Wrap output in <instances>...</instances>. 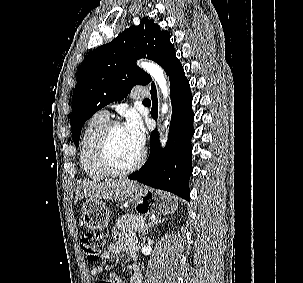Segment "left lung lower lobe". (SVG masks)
<instances>
[{
  "instance_id": "0a47b994",
  "label": "left lung lower lobe",
  "mask_w": 303,
  "mask_h": 283,
  "mask_svg": "<svg viewBox=\"0 0 303 283\" xmlns=\"http://www.w3.org/2000/svg\"><path fill=\"white\" fill-rule=\"evenodd\" d=\"M165 72L170 80L172 102V118L167 145L165 148H161L159 135L156 130L153 131L150 137V154L146 163L128 178L190 200L191 138L194 134L192 95L183 67L176 57ZM150 93L153 102L151 116L156 120L157 96L154 83H152Z\"/></svg>"
}]
</instances>
